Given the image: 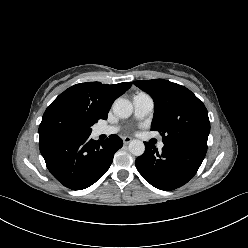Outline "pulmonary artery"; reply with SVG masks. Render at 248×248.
<instances>
[{
  "label": "pulmonary artery",
  "instance_id": "1",
  "mask_svg": "<svg viewBox=\"0 0 248 248\" xmlns=\"http://www.w3.org/2000/svg\"><path fill=\"white\" fill-rule=\"evenodd\" d=\"M133 106L135 116L139 119H143L152 112L154 108V101L150 95L141 92L134 95ZM118 130L119 129L116 126H101L97 129V133L110 135L116 133ZM163 147L164 143L160 142L158 144V148L162 149Z\"/></svg>",
  "mask_w": 248,
  "mask_h": 248
}]
</instances>
